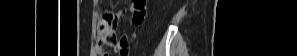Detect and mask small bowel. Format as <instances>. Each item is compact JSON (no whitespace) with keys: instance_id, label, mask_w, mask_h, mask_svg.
<instances>
[{"instance_id":"1","label":"small bowel","mask_w":297,"mask_h":56,"mask_svg":"<svg viewBox=\"0 0 297 56\" xmlns=\"http://www.w3.org/2000/svg\"><path fill=\"white\" fill-rule=\"evenodd\" d=\"M130 36L129 33H124V36H120L119 45L116 46L115 52L120 53L121 56H127L126 49L130 48ZM97 55L104 56L105 51L102 47L97 48Z\"/></svg>"}]
</instances>
